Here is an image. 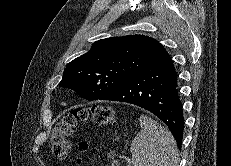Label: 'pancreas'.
Instances as JSON below:
<instances>
[{"instance_id":"cf45deb5","label":"pancreas","mask_w":231,"mask_h":166,"mask_svg":"<svg viewBox=\"0 0 231 166\" xmlns=\"http://www.w3.org/2000/svg\"><path fill=\"white\" fill-rule=\"evenodd\" d=\"M112 166H118V164L117 163H113V165Z\"/></svg>"}]
</instances>
